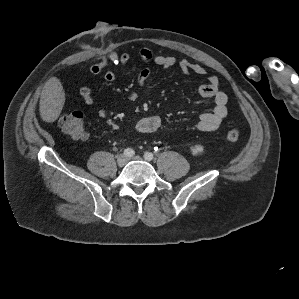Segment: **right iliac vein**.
I'll list each match as a JSON object with an SVG mask.
<instances>
[{"mask_svg":"<svg viewBox=\"0 0 299 299\" xmlns=\"http://www.w3.org/2000/svg\"><path fill=\"white\" fill-rule=\"evenodd\" d=\"M127 163V157L124 154H121L117 158V164L119 167H123Z\"/></svg>","mask_w":299,"mask_h":299,"instance_id":"63e3f726","label":"right iliac vein"}]
</instances>
